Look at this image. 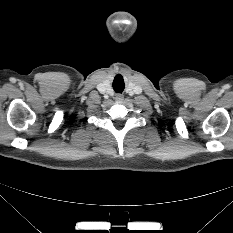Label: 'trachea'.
Instances as JSON below:
<instances>
[{"label": "trachea", "instance_id": "trachea-1", "mask_svg": "<svg viewBox=\"0 0 233 233\" xmlns=\"http://www.w3.org/2000/svg\"><path fill=\"white\" fill-rule=\"evenodd\" d=\"M113 89L115 92L121 93L124 90V81H121L120 83L113 82Z\"/></svg>", "mask_w": 233, "mask_h": 233}]
</instances>
